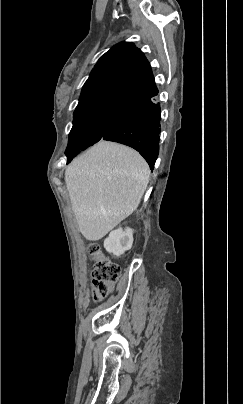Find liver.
Wrapping results in <instances>:
<instances>
[{
    "label": "liver",
    "mask_w": 243,
    "mask_h": 404,
    "mask_svg": "<svg viewBox=\"0 0 243 404\" xmlns=\"http://www.w3.org/2000/svg\"><path fill=\"white\" fill-rule=\"evenodd\" d=\"M142 156L115 142L101 140L69 164L65 172L78 230L90 242L104 238L137 210L149 184Z\"/></svg>",
    "instance_id": "obj_1"
}]
</instances>
